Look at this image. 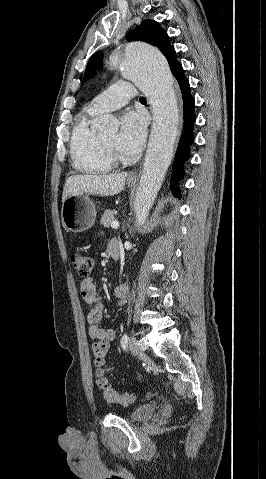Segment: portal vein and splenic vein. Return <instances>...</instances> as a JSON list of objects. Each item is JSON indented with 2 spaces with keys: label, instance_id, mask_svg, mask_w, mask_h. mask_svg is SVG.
Wrapping results in <instances>:
<instances>
[{
  "label": "portal vein and splenic vein",
  "instance_id": "obj_1",
  "mask_svg": "<svg viewBox=\"0 0 266 479\" xmlns=\"http://www.w3.org/2000/svg\"><path fill=\"white\" fill-rule=\"evenodd\" d=\"M111 227L114 228V229L118 228L119 227V222L118 221H113L111 223Z\"/></svg>",
  "mask_w": 266,
  "mask_h": 479
}]
</instances>
